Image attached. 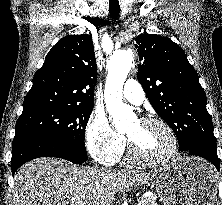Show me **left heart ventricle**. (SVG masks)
<instances>
[{"mask_svg": "<svg viewBox=\"0 0 222 205\" xmlns=\"http://www.w3.org/2000/svg\"><path fill=\"white\" fill-rule=\"evenodd\" d=\"M126 135L132 140L139 155L148 159L164 156L171 146L169 135L157 124L134 120L129 124Z\"/></svg>", "mask_w": 222, "mask_h": 205, "instance_id": "b2bd125f", "label": "left heart ventricle"}]
</instances>
